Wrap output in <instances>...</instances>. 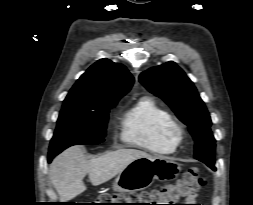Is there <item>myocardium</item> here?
<instances>
[{"label": "myocardium", "mask_w": 253, "mask_h": 205, "mask_svg": "<svg viewBox=\"0 0 253 205\" xmlns=\"http://www.w3.org/2000/svg\"><path fill=\"white\" fill-rule=\"evenodd\" d=\"M184 135L183 127L176 122H173L167 129V137L176 144H179L183 140Z\"/></svg>", "instance_id": "f54148a6"}]
</instances>
